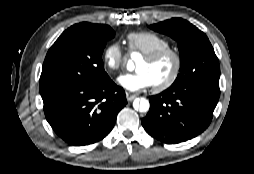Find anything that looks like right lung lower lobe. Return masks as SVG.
<instances>
[{"instance_id":"right-lung-lower-lobe-1","label":"right lung lower lobe","mask_w":254,"mask_h":174,"mask_svg":"<svg viewBox=\"0 0 254 174\" xmlns=\"http://www.w3.org/2000/svg\"><path fill=\"white\" fill-rule=\"evenodd\" d=\"M41 96L48 123L74 146L93 144L107 136L127 104L125 92L109 77L95 85L62 87Z\"/></svg>"}]
</instances>
